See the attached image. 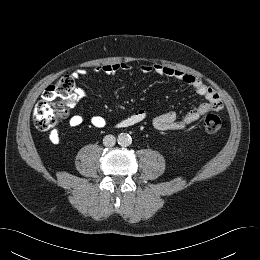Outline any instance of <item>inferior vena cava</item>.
Here are the masks:
<instances>
[{
    "label": "inferior vena cava",
    "mask_w": 260,
    "mask_h": 260,
    "mask_svg": "<svg viewBox=\"0 0 260 260\" xmlns=\"http://www.w3.org/2000/svg\"><path fill=\"white\" fill-rule=\"evenodd\" d=\"M116 143V138L113 135H106L103 138V144L106 147H113Z\"/></svg>",
    "instance_id": "inferior-vena-cava-1"
}]
</instances>
